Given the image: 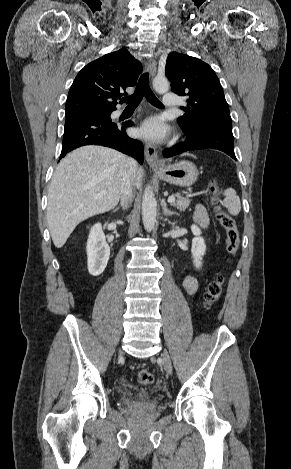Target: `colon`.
Instances as JSON below:
<instances>
[{
  "instance_id": "obj_1",
  "label": "colon",
  "mask_w": 291,
  "mask_h": 469,
  "mask_svg": "<svg viewBox=\"0 0 291 469\" xmlns=\"http://www.w3.org/2000/svg\"><path fill=\"white\" fill-rule=\"evenodd\" d=\"M209 192L212 195V203L216 213L217 220L225 230V248L230 256H234L240 245L239 231L234 219L223 209L221 200L219 198V185L213 181L209 187ZM224 287V277L218 276L212 280L204 294V306L210 308L221 297ZM154 376L151 371L142 369L138 373V381L143 385L151 384Z\"/></svg>"
}]
</instances>
